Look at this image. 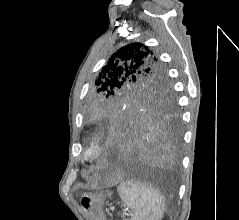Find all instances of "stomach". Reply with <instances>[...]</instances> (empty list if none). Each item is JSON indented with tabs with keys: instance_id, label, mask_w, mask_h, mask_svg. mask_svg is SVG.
Masks as SVG:
<instances>
[{
	"instance_id": "0dacf381",
	"label": "stomach",
	"mask_w": 239,
	"mask_h": 220,
	"mask_svg": "<svg viewBox=\"0 0 239 220\" xmlns=\"http://www.w3.org/2000/svg\"><path fill=\"white\" fill-rule=\"evenodd\" d=\"M102 202L101 197L89 193L83 194L80 200L82 210L94 220H102L100 215Z\"/></svg>"
}]
</instances>
